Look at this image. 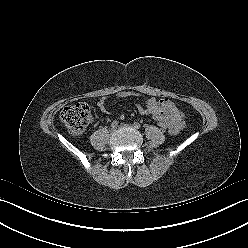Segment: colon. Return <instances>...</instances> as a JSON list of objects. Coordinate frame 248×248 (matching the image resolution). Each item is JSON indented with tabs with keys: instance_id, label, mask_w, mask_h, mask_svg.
<instances>
[{
	"instance_id": "1",
	"label": "colon",
	"mask_w": 248,
	"mask_h": 248,
	"mask_svg": "<svg viewBox=\"0 0 248 248\" xmlns=\"http://www.w3.org/2000/svg\"><path fill=\"white\" fill-rule=\"evenodd\" d=\"M91 118L90 108L86 103H77L65 107L60 114V119L73 136H81L86 131ZM158 126L169 131L165 120H159Z\"/></svg>"
}]
</instances>
